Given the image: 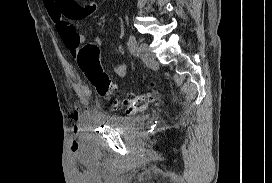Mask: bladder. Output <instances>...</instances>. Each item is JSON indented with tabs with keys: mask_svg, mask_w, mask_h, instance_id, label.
Returning <instances> with one entry per match:
<instances>
[{
	"mask_svg": "<svg viewBox=\"0 0 272 183\" xmlns=\"http://www.w3.org/2000/svg\"><path fill=\"white\" fill-rule=\"evenodd\" d=\"M101 123L123 131H137L143 124V118L139 116L108 115L101 118Z\"/></svg>",
	"mask_w": 272,
	"mask_h": 183,
	"instance_id": "31cf9c89",
	"label": "bladder"
}]
</instances>
